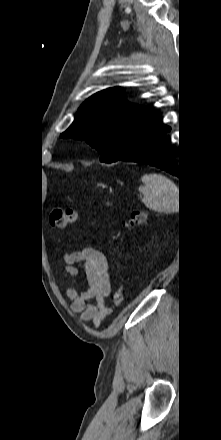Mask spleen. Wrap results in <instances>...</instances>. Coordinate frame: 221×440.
<instances>
[{
  "label": "spleen",
  "instance_id": "spleen-1",
  "mask_svg": "<svg viewBox=\"0 0 221 440\" xmlns=\"http://www.w3.org/2000/svg\"><path fill=\"white\" fill-rule=\"evenodd\" d=\"M141 181V201L148 209L160 213H172L177 210L179 190L172 180L161 174L150 173L143 175Z\"/></svg>",
  "mask_w": 221,
  "mask_h": 440
}]
</instances>
